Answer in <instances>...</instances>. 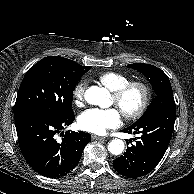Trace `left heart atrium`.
Wrapping results in <instances>:
<instances>
[{"label": "left heart atrium", "mask_w": 194, "mask_h": 194, "mask_svg": "<svg viewBox=\"0 0 194 194\" xmlns=\"http://www.w3.org/2000/svg\"><path fill=\"white\" fill-rule=\"evenodd\" d=\"M78 124L82 130L103 134L108 129L116 128L121 124V114L115 108H91L79 116Z\"/></svg>", "instance_id": "obj_1"}]
</instances>
